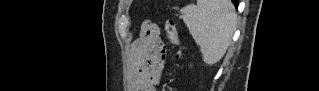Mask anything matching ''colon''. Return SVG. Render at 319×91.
Returning a JSON list of instances; mask_svg holds the SVG:
<instances>
[{"label":"colon","instance_id":"1","mask_svg":"<svg viewBox=\"0 0 319 91\" xmlns=\"http://www.w3.org/2000/svg\"><path fill=\"white\" fill-rule=\"evenodd\" d=\"M166 33H167V37L170 41L171 44L176 45L178 42V33H177V29H176V25L174 20L169 19L166 21ZM151 59L150 57L147 58V63H150Z\"/></svg>","mask_w":319,"mask_h":91}]
</instances>
